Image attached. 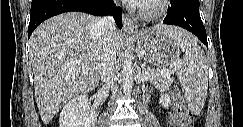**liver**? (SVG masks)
Returning <instances> with one entry per match:
<instances>
[{
	"instance_id": "obj_1",
	"label": "liver",
	"mask_w": 243,
	"mask_h": 127,
	"mask_svg": "<svg viewBox=\"0 0 243 127\" xmlns=\"http://www.w3.org/2000/svg\"><path fill=\"white\" fill-rule=\"evenodd\" d=\"M99 20L85 13L68 12L46 20L31 35L36 103L44 124L63 104L94 90L99 83L104 35ZM122 39L116 31V49Z\"/></svg>"
}]
</instances>
